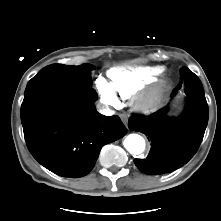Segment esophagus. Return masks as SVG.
Returning <instances> with one entry per match:
<instances>
[{"instance_id": "1", "label": "esophagus", "mask_w": 221, "mask_h": 221, "mask_svg": "<svg viewBox=\"0 0 221 221\" xmlns=\"http://www.w3.org/2000/svg\"><path fill=\"white\" fill-rule=\"evenodd\" d=\"M122 122L127 126L128 125V118L126 115L122 114L121 116Z\"/></svg>"}]
</instances>
